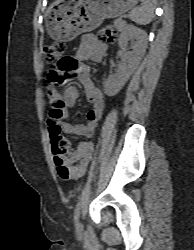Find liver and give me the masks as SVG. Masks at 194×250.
<instances>
[{
	"instance_id": "liver-1",
	"label": "liver",
	"mask_w": 194,
	"mask_h": 250,
	"mask_svg": "<svg viewBox=\"0 0 194 250\" xmlns=\"http://www.w3.org/2000/svg\"><path fill=\"white\" fill-rule=\"evenodd\" d=\"M62 0H56L54 4L60 3Z\"/></svg>"
}]
</instances>
